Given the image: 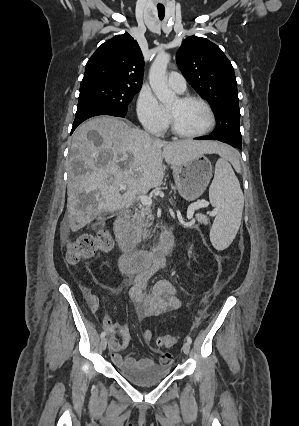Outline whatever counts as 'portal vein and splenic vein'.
Listing matches in <instances>:
<instances>
[{
	"instance_id": "18ae733b",
	"label": "portal vein and splenic vein",
	"mask_w": 299,
	"mask_h": 426,
	"mask_svg": "<svg viewBox=\"0 0 299 426\" xmlns=\"http://www.w3.org/2000/svg\"><path fill=\"white\" fill-rule=\"evenodd\" d=\"M119 190L123 191L127 189V186L125 184H119L118 185ZM139 198L142 202V204L144 205H148L150 206L152 204V199L144 194L139 195ZM209 205V203L205 200H201V201H197L194 202L192 204H190L189 208H188V218L191 219L195 213L196 210L200 209V208H204L207 207ZM171 211V215L174 217V213Z\"/></svg>"
}]
</instances>
